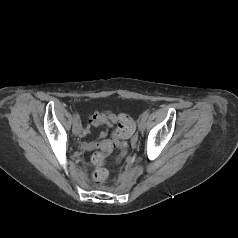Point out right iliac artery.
<instances>
[{
    "label": "right iliac artery",
    "instance_id": "1",
    "mask_svg": "<svg viewBox=\"0 0 238 238\" xmlns=\"http://www.w3.org/2000/svg\"><path fill=\"white\" fill-rule=\"evenodd\" d=\"M79 115L77 114V113H75L74 115H73V123L74 122H78L79 121Z\"/></svg>",
    "mask_w": 238,
    "mask_h": 238
}]
</instances>
